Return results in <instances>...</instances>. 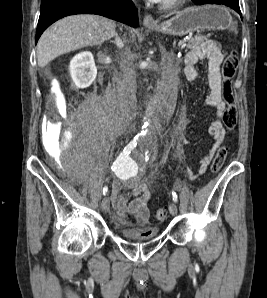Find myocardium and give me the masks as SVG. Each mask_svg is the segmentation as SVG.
<instances>
[{
    "mask_svg": "<svg viewBox=\"0 0 267 298\" xmlns=\"http://www.w3.org/2000/svg\"><path fill=\"white\" fill-rule=\"evenodd\" d=\"M187 0H162L160 7L164 10H174L183 5Z\"/></svg>",
    "mask_w": 267,
    "mask_h": 298,
    "instance_id": "myocardium-1",
    "label": "myocardium"
}]
</instances>
